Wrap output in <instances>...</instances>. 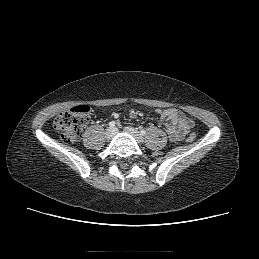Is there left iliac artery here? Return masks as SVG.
I'll list each match as a JSON object with an SVG mask.
<instances>
[{
	"mask_svg": "<svg viewBox=\"0 0 259 259\" xmlns=\"http://www.w3.org/2000/svg\"><path fill=\"white\" fill-rule=\"evenodd\" d=\"M140 133H141V135H146V131L145 130H141Z\"/></svg>",
	"mask_w": 259,
	"mask_h": 259,
	"instance_id": "obj_1",
	"label": "left iliac artery"
}]
</instances>
